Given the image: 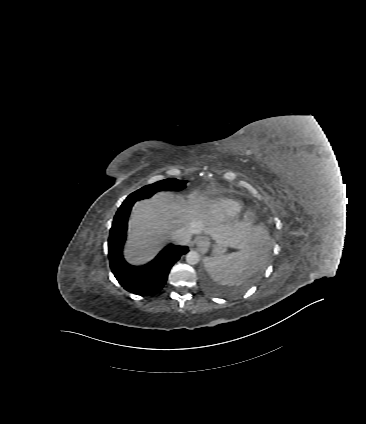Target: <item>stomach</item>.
<instances>
[{"mask_svg": "<svg viewBox=\"0 0 366 424\" xmlns=\"http://www.w3.org/2000/svg\"><path fill=\"white\" fill-rule=\"evenodd\" d=\"M214 247V253L216 255H221L226 251V247L222 244L217 243L216 245L213 246Z\"/></svg>", "mask_w": 366, "mask_h": 424, "instance_id": "stomach-1", "label": "stomach"}]
</instances>
